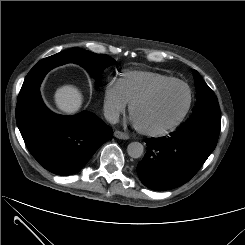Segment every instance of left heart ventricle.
I'll return each mask as SVG.
<instances>
[{"label": "left heart ventricle", "instance_id": "obj_1", "mask_svg": "<svg viewBox=\"0 0 245 245\" xmlns=\"http://www.w3.org/2000/svg\"><path fill=\"white\" fill-rule=\"evenodd\" d=\"M187 100V89L175 84L164 89L151 100L138 105L132 118L141 128L160 130L171 125L179 117Z\"/></svg>", "mask_w": 245, "mask_h": 245}]
</instances>
